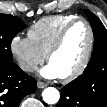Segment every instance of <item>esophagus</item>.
Here are the masks:
<instances>
[{
    "label": "esophagus",
    "instance_id": "esophagus-1",
    "mask_svg": "<svg viewBox=\"0 0 107 107\" xmlns=\"http://www.w3.org/2000/svg\"><path fill=\"white\" fill-rule=\"evenodd\" d=\"M46 86H47V84L44 83V82H41V81H38V82H37V87L40 88V89H41V88H45Z\"/></svg>",
    "mask_w": 107,
    "mask_h": 107
}]
</instances>
